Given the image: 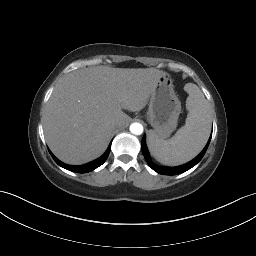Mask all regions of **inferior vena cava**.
Listing matches in <instances>:
<instances>
[{
	"label": "inferior vena cava",
	"instance_id": "602c4592",
	"mask_svg": "<svg viewBox=\"0 0 256 256\" xmlns=\"http://www.w3.org/2000/svg\"><path fill=\"white\" fill-rule=\"evenodd\" d=\"M111 126H112L113 128H118V127L120 126V121H119L118 119H113V120L111 121Z\"/></svg>",
	"mask_w": 256,
	"mask_h": 256
}]
</instances>
